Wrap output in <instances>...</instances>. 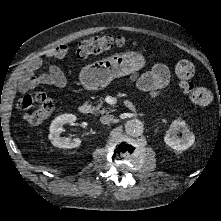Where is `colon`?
<instances>
[{
    "label": "colon",
    "mask_w": 221,
    "mask_h": 221,
    "mask_svg": "<svg viewBox=\"0 0 221 221\" xmlns=\"http://www.w3.org/2000/svg\"><path fill=\"white\" fill-rule=\"evenodd\" d=\"M126 43V39L121 36L96 35L80 41L76 53L80 58H87L115 48H122ZM196 73L195 64L189 60H181L175 66V74L181 91L195 104L207 105L212 99L211 93L194 83L193 78ZM34 106L37 107L31 110ZM19 108L23 111L24 122L29 126H37L54 113L55 102L47 92L38 91L22 97L19 101Z\"/></svg>",
    "instance_id": "obj_1"
}]
</instances>
